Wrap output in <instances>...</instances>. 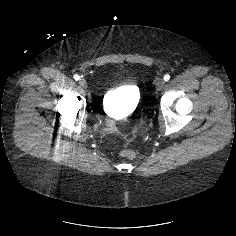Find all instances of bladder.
<instances>
[{
  "label": "bladder",
  "mask_w": 236,
  "mask_h": 236,
  "mask_svg": "<svg viewBox=\"0 0 236 236\" xmlns=\"http://www.w3.org/2000/svg\"><path fill=\"white\" fill-rule=\"evenodd\" d=\"M141 100L140 89L132 84H125L109 89L103 99V108L116 113L124 109H134Z\"/></svg>",
  "instance_id": "1"
}]
</instances>
